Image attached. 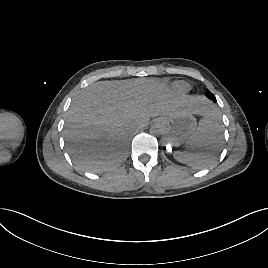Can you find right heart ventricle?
Here are the masks:
<instances>
[{"label": "right heart ventricle", "instance_id": "e07e8e85", "mask_svg": "<svg viewBox=\"0 0 268 268\" xmlns=\"http://www.w3.org/2000/svg\"><path fill=\"white\" fill-rule=\"evenodd\" d=\"M175 86L181 92H186L189 90V85L186 84L185 82H178V83H176Z\"/></svg>", "mask_w": 268, "mask_h": 268}]
</instances>
